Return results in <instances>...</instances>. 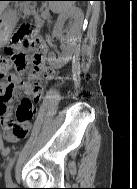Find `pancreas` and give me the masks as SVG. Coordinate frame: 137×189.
Here are the masks:
<instances>
[{"label":"pancreas","mask_w":137,"mask_h":189,"mask_svg":"<svg viewBox=\"0 0 137 189\" xmlns=\"http://www.w3.org/2000/svg\"><path fill=\"white\" fill-rule=\"evenodd\" d=\"M25 14H27V11H25ZM47 16H48V12L45 11L41 16H36L35 18H36L37 21H41V23H43V21L41 20V18L42 19H46Z\"/></svg>","instance_id":"cf45deb5"}]
</instances>
